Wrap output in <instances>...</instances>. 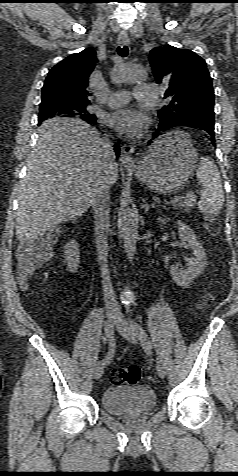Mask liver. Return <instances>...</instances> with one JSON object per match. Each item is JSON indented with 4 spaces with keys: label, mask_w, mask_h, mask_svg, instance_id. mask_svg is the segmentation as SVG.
I'll return each instance as SVG.
<instances>
[{
    "label": "liver",
    "mask_w": 238,
    "mask_h": 476,
    "mask_svg": "<svg viewBox=\"0 0 238 476\" xmlns=\"http://www.w3.org/2000/svg\"><path fill=\"white\" fill-rule=\"evenodd\" d=\"M102 141L96 128L81 119L55 117L40 126L19 190L18 241L34 240L89 209L106 174ZM117 177L115 164L110 185Z\"/></svg>",
    "instance_id": "liver-1"
}]
</instances>
